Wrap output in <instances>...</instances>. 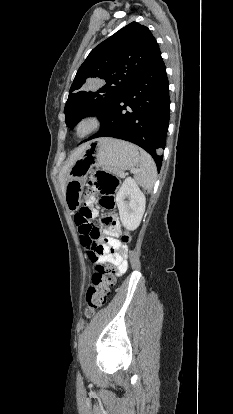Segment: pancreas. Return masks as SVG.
I'll use <instances>...</instances> for the list:
<instances>
[{
	"instance_id": "cf45deb5",
	"label": "pancreas",
	"mask_w": 233,
	"mask_h": 414,
	"mask_svg": "<svg viewBox=\"0 0 233 414\" xmlns=\"http://www.w3.org/2000/svg\"><path fill=\"white\" fill-rule=\"evenodd\" d=\"M116 174H117V175H119L120 177H123V174H124V173H123L122 171H119V172H117Z\"/></svg>"
}]
</instances>
